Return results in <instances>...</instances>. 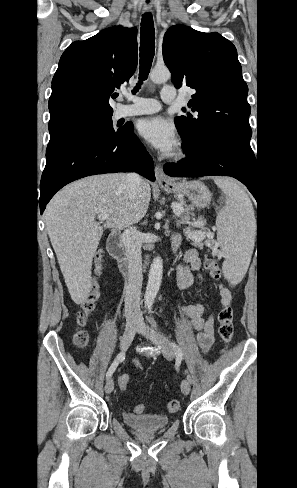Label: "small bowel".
Instances as JSON below:
<instances>
[{
  "label": "small bowel",
  "mask_w": 297,
  "mask_h": 488,
  "mask_svg": "<svg viewBox=\"0 0 297 488\" xmlns=\"http://www.w3.org/2000/svg\"><path fill=\"white\" fill-rule=\"evenodd\" d=\"M181 243V237L178 234L172 236V248L177 252ZM178 259V256H177ZM201 258L196 249H188L182 258L177 262L176 281L180 289H196V297L201 299L203 294L202 286L205 283V277L201 273ZM222 306L229 304L232 295L230 290L223 284H217ZM183 315L189 318L190 326L199 332L197 339L202 350L207 351L214 341V321L215 312L205 315V305L198 301L194 304H188L181 307ZM134 365L142 370L143 366L138 359L133 361Z\"/></svg>",
  "instance_id": "obj_1"
}]
</instances>
